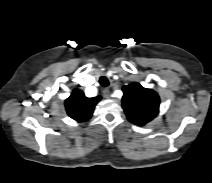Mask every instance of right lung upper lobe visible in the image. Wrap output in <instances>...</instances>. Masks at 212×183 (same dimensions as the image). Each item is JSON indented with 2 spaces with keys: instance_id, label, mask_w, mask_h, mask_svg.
<instances>
[{
  "instance_id": "1",
  "label": "right lung upper lobe",
  "mask_w": 212,
  "mask_h": 183,
  "mask_svg": "<svg viewBox=\"0 0 212 183\" xmlns=\"http://www.w3.org/2000/svg\"><path fill=\"white\" fill-rule=\"evenodd\" d=\"M100 99V96L87 98L81 90L74 89L71 96L65 101L66 111L76 121H87L91 118L95 105Z\"/></svg>"
}]
</instances>
